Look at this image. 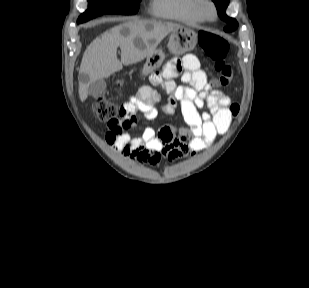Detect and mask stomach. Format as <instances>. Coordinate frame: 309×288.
<instances>
[{"label": "stomach", "mask_w": 309, "mask_h": 288, "mask_svg": "<svg viewBox=\"0 0 309 288\" xmlns=\"http://www.w3.org/2000/svg\"><path fill=\"white\" fill-rule=\"evenodd\" d=\"M198 41L197 33L185 26H180L171 32L168 48L172 54L180 55L195 48ZM165 59L162 49H156L146 58L142 74L147 75L158 69Z\"/></svg>", "instance_id": "1"}]
</instances>
